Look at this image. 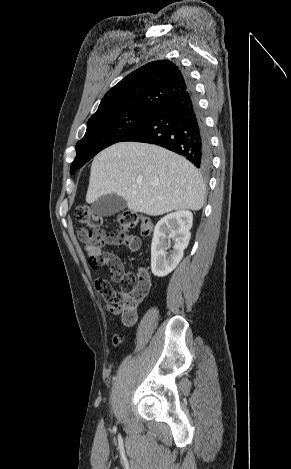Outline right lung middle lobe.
Wrapping results in <instances>:
<instances>
[{"instance_id": "dd1d6c3e", "label": "right lung middle lobe", "mask_w": 291, "mask_h": 469, "mask_svg": "<svg viewBox=\"0 0 291 469\" xmlns=\"http://www.w3.org/2000/svg\"><path fill=\"white\" fill-rule=\"evenodd\" d=\"M152 113L153 110L131 109L89 119L85 136L76 145L77 154L71 165L70 173L73 174L102 149L131 134Z\"/></svg>"}]
</instances>
